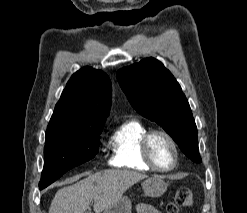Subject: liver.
<instances>
[{
  "label": "liver",
  "mask_w": 247,
  "mask_h": 213,
  "mask_svg": "<svg viewBox=\"0 0 247 213\" xmlns=\"http://www.w3.org/2000/svg\"><path fill=\"white\" fill-rule=\"evenodd\" d=\"M147 175L130 170H105L89 174L73 185L61 188L53 198L49 213H85L94 200L95 213L115 204L124 192Z\"/></svg>",
  "instance_id": "1"
}]
</instances>
